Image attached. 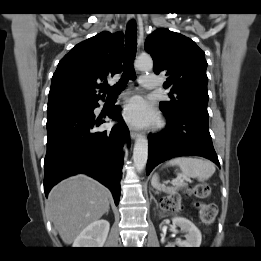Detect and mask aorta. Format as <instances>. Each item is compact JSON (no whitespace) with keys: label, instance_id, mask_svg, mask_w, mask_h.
Returning <instances> with one entry per match:
<instances>
[{"label":"aorta","instance_id":"762f6f07","mask_svg":"<svg viewBox=\"0 0 261 261\" xmlns=\"http://www.w3.org/2000/svg\"><path fill=\"white\" fill-rule=\"evenodd\" d=\"M135 67L139 70L148 71L153 68V60L150 56H139L135 61ZM148 139L144 135H138L133 150L134 167L141 172L147 163Z\"/></svg>","mask_w":261,"mask_h":261}]
</instances>
